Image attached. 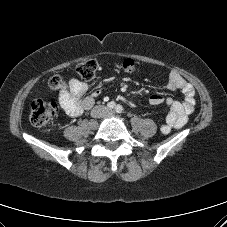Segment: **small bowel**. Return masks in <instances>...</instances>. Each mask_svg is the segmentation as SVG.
I'll use <instances>...</instances> for the list:
<instances>
[{
	"instance_id": "small-bowel-1",
	"label": "small bowel",
	"mask_w": 227,
	"mask_h": 227,
	"mask_svg": "<svg viewBox=\"0 0 227 227\" xmlns=\"http://www.w3.org/2000/svg\"><path fill=\"white\" fill-rule=\"evenodd\" d=\"M168 88L172 91H180L184 95L182 101L172 98H164L160 94H154L149 98V104L156 106L163 102L167 104L170 111L166 121L161 125V131L168 134L172 129L182 128L188 121L189 115L195 106V89L191 83L186 81L179 73L171 72ZM88 85L78 79H72L69 87L59 93V103L64 112L71 117H79L85 110L90 109L95 98L101 94L100 89L94 90L91 95L84 97Z\"/></svg>"
}]
</instances>
